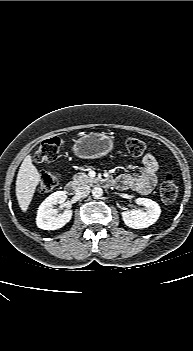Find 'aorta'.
Returning a JSON list of instances; mask_svg holds the SVG:
<instances>
[{
	"label": "aorta",
	"mask_w": 193,
	"mask_h": 351,
	"mask_svg": "<svg viewBox=\"0 0 193 351\" xmlns=\"http://www.w3.org/2000/svg\"><path fill=\"white\" fill-rule=\"evenodd\" d=\"M92 195L95 198H100L103 195V190L100 187H94L92 189Z\"/></svg>",
	"instance_id": "762f6f07"
}]
</instances>
